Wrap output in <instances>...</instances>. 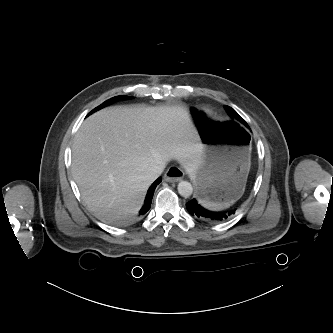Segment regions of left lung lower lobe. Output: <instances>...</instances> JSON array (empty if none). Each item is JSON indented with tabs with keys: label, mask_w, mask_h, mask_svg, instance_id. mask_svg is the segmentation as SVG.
Returning a JSON list of instances; mask_svg holds the SVG:
<instances>
[{
	"label": "left lung lower lobe",
	"mask_w": 333,
	"mask_h": 333,
	"mask_svg": "<svg viewBox=\"0 0 333 333\" xmlns=\"http://www.w3.org/2000/svg\"><path fill=\"white\" fill-rule=\"evenodd\" d=\"M186 208L191 215L208 222H222L229 219L235 214V210H227L221 212H213L206 210L202 206H200L195 199L187 202Z\"/></svg>",
	"instance_id": "obj_1"
}]
</instances>
